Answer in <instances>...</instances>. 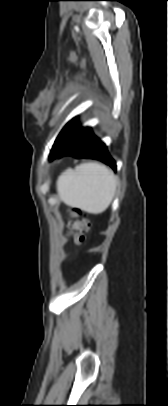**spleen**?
I'll return each mask as SVG.
<instances>
[{
	"label": "spleen",
	"mask_w": 168,
	"mask_h": 406,
	"mask_svg": "<svg viewBox=\"0 0 168 406\" xmlns=\"http://www.w3.org/2000/svg\"><path fill=\"white\" fill-rule=\"evenodd\" d=\"M117 184L111 169L90 162L62 172L57 180V192L66 205L100 214L112 202Z\"/></svg>",
	"instance_id": "3e777b00"
}]
</instances>
